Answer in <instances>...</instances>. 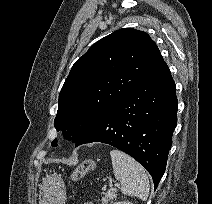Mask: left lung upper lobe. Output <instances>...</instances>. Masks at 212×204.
<instances>
[{"mask_svg":"<svg viewBox=\"0 0 212 204\" xmlns=\"http://www.w3.org/2000/svg\"><path fill=\"white\" fill-rule=\"evenodd\" d=\"M163 62L156 44L145 32L123 28L102 38L75 62L65 80L55 128L63 131L66 139L79 142L110 108ZM52 145L56 146L57 141Z\"/></svg>","mask_w":212,"mask_h":204,"instance_id":"obj_1","label":"left lung upper lobe"}]
</instances>
